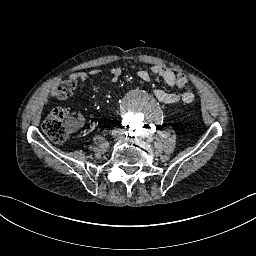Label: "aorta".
I'll use <instances>...</instances> for the list:
<instances>
[{"label":"aorta","mask_w":256,"mask_h":256,"mask_svg":"<svg viewBox=\"0 0 256 256\" xmlns=\"http://www.w3.org/2000/svg\"><path fill=\"white\" fill-rule=\"evenodd\" d=\"M121 113L129 125L136 128H145L157 120L160 113V104L152 92L145 89H136L124 97L121 104Z\"/></svg>","instance_id":"1"}]
</instances>
